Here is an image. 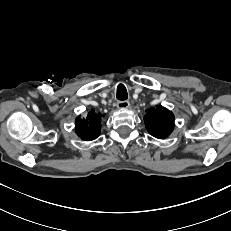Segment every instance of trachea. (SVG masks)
Masks as SVG:
<instances>
[{
    "label": "trachea",
    "instance_id": "3493384b",
    "mask_svg": "<svg viewBox=\"0 0 231 231\" xmlns=\"http://www.w3.org/2000/svg\"><path fill=\"white\" fill-rule=\"evenodd\" d=\"M128 98L126 87L123 84H119L117 87V99L126 100Z\"/></svg>",
    "mask_w": 231,
    "mask_h": 231
}]
</instances>
